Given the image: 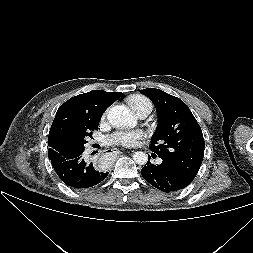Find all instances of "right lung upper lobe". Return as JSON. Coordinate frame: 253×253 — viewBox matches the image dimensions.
Here are the masks:
<instances>
[{
	"label": "right lung upper lobe",
	"mask_w": 253,
	"mask_h": 253,
	"mask_svg": "<svg viewBox=\"0 0 253 253\" xmlns=\"http://www.w3.org/2000/svg\"><path fill=\"white\" fill-rule=\"evenodd\" d=\"M123 93L93 90L70 98L58 109L52 123L48 154L65 153L82 136L98 130L104 111Z\"/></svg>",
	"instance_id": "right-lung-upper-lobe-1"
}]
</instances>
